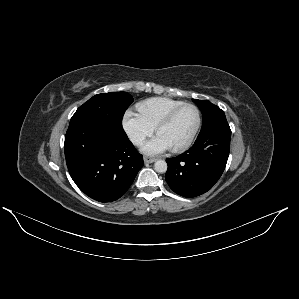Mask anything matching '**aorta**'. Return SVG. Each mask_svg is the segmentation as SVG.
<instances>
[{
	"label": "aorta",
	"mask_w": 299,
	"mask_h": 299,
	"mask_svg": "<svg viewBox=\"0 0 299 299\" xmlns=\"http://www.w3.org/2000/svg\"><path fill=\"white\" fill-rule=\"evenodd\" d=\"M154 169L158 173H165L167 171V163L164 160H158L154 164Z\"/></svg>",
	"instance_id": "obj_1"
}]
</instances>
